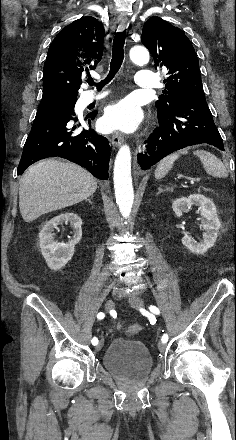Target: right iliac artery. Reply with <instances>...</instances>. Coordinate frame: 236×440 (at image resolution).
<instances>
[{"instance_id":"1","label":"right iliac artery","mask_w":236,"mask_h":440,"mask_svg":"<svg viewBox=\"0 0 236 440\" xmlns=\"http://www.w3.org/2000/svg\"><path fill=\"white\" fill-rule=\"evenodd\" d=\"M104 316H105V315H104L103 312H99V313L97 314V318L100 319V320L103 319ZM91 342H92L93 345H97V344H98V339H97L96 337H94V338L92 339Z\"/></svg>"}]
</instances>
